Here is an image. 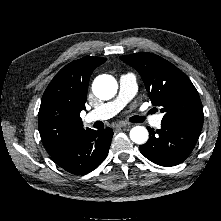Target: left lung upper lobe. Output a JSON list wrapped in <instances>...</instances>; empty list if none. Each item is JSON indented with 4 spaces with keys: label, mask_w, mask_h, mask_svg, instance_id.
I'll use <instances>...</instances> for the list:
<instances>
[{
    "label": "left lung upper lobe",
    "mask_w": 221,
    "mask_h": 221,
    "mask_svg": "<svg viewBox=\"0 0 221 221\" xmlns=\"http://www.w3.org/2000/svg\"><path fill=\"white\" fill-rule=\"evenodd\" d=\"M141 75L150 100L165 113L162 123L203 126V107L190 79L158 55L142 52L121 56Z\"/></svg>",
    "instance_id": "left-lung-upper-lobe-1"
}]
</instances>
